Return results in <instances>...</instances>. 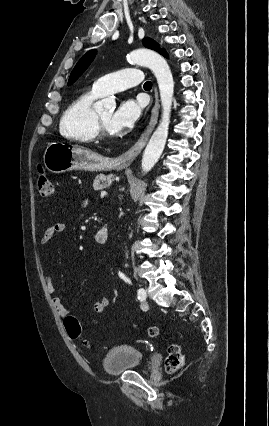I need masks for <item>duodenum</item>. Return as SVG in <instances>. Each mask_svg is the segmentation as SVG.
Returning a JSON list of instances; mask_svg holds the SVG:
<instances>
[{"instance_id": "1", "label": "duodenum", "mask_w": 269, "mask_h": 426, "mask_svg": "<svg viewBox=\"0 0 269 426\" xmlns=\"http://www.w3.org/2000/svg\"><path fill=\"white\" fill-rule=\"evenodd\" d=\"M110 230L109 226L104 225L95 235V240L99 244H105L109 240Z\"/></svg>"}]
</instances>
